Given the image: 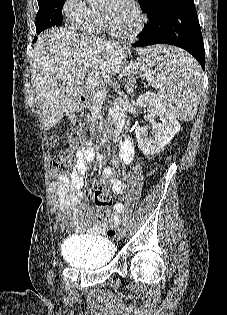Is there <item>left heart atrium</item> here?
Returning <instances> with one entry per match:
<instances>
[{
	"label": "left heart atrium",
	"instance_id": "left-heart-atrium-1",
	"mask_svg": "<svg viewBox=\"0 0 227 315\" xmlns=\"http://www.w3.org/2000/svg\"><path fill=\"white\" fill-rule=\"evenodd\" d=\"M120 3H129V0H118Z\"/></svg>",
	"mask_w": 227,
	"mask_h": 315
}]
</instances>
